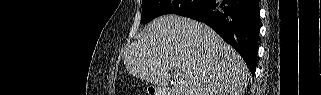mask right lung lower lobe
<instances>
[{
	"label": "right lung lower lobe",
	"mask_w": 321,
	"mask_h": 95,
	"mask_svg": "<svg viewBox=\"0 0 321 95\" xmlns=\"http://www.w3.org/2000/svg\"><path fill=\"white\" fill-rule=\"evenodd\" d=\"M260 9L258 0H207L197 13L187 15L212 27L243 57L254 75Z\"/></svg>",
	"instance_id": "right-lung-lower-lobe-1"
}]
</instances>
